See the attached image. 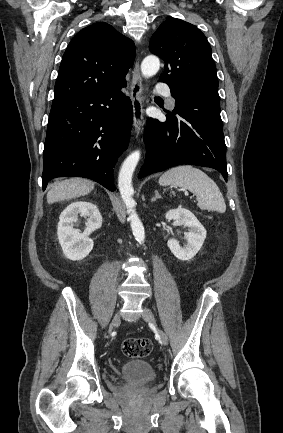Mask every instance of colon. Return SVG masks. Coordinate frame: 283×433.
<instances>
[{
  "label": "colon",
  "mask_w": 283,
  "mask_h": 433,
  "mask_svg": "<svg viewBox=\"0 0 283 433\" xmlns=\"http://www.w3.org/2000/svg\"><path fill=\"white\" fill-rule=\"evenodd\" d=\"M124 355L132 358H143L152 351V342L146 338H129L123 342Z\"/></svg>",
  "instance_id": "5ec220e1"
}]
</instances>
